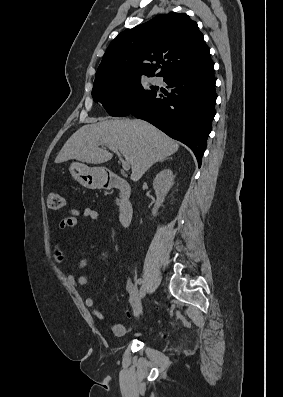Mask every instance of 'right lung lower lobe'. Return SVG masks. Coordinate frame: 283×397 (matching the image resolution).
Returning a JSON list of instances; mask_svg holds the SVG:
<instances>
[{"instance_id": "right-lung-lower-lobe-1", "label": "right lung lower lobe", "mask_w": 283, "mask_h": 397, "mask_svg": "<svg viewBox=\"0 0 283 397\" xmlns=\"http://www.w3.org/2000/svg\"><path fill=\"white\" fill-rule=\"evenodd\" d=\"M210 59L171 72L164 81L173 90L167 97L155 93L130 114L148 121L167 135L186 144L199 166L215 116V77Z\"/></svg>"}]
</instances>
